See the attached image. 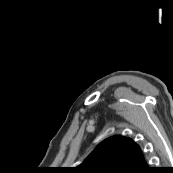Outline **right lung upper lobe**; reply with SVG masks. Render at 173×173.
<instances>
[{"mask_svg":"<svg viewBox=\"0 0 173 173\" xmlns=\"http://www.w3.org/2000/svg\"><path fill=\"white\" fill-rule=\"evenodd\" d=\"M142 160H144L143 154L133 140L116 135L102 141L73 171L75 173H126Z\"/></svg>","mask_w":173,"mask_h":173,"instance_id":"obj_1","label":"right lung upper lobe"}]
</instances>
